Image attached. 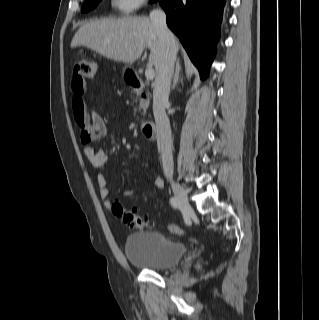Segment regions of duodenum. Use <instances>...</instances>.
<instances>
[{
  "mask_svg": "<svg viewBox=\"0 0 319 320\" xmlns=\"http://www.w3.org/2000/svg\"><path fill=\"white\" fill-rule=\"evenodd\" d=\"M127 81L135 89L139 90L142 88V82L140 78L133 72L127 73ZM142 131L149 141L156 140L158 137V128L150 121L143 122Z\"/></svg>",
  "mask_w": 319,
  "mask_h": 320,
  "instance_id": "1",
  "label": "duodenum"
}]
</instances>
